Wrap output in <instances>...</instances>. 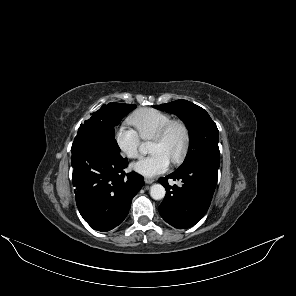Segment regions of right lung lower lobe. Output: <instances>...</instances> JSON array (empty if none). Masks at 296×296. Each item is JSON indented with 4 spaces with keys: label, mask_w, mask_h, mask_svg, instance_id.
Segmentation results:
<instances>
[{
    "label": "right lung lower lobe",
    "mask_w": 296,
    "mask_h": 296,
    "mask_svg": "<svg viewBox=\"0 0 296 296\" xmlns=\"http://www.w3.org/2000/svg\"><path fill=\"white\" fill-rule=\"evenodd\" d=\"M71 152L81 216L95 230H112L127 216L132 198L144 184L143 177L134 172L126 175L127 159L95 135H77Z\"/></svg>",
    "instance_id": "1"
}]
</instances>
